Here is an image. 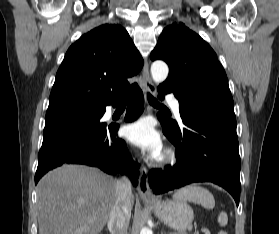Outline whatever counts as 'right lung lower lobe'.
I'll return each instance as SVG.
<instances>
[{"label": "right lung lower lobe", "instance_id": "obj_1", "mask_svg": "<svg viewBox=\"0 0 279 234\" xmlns=\"http://www.w3.org/2000/svg\"><path fill=\"white\" fill-rule=\"evenodd\" d=\"M126 95L129 106L125 120L132 122L144 110V97L137 84ZM117 103L111 105L116 106ZM104 113L105 107L95 120L64 122L44 128L36 184L49 170L62 164L76 163L99 167L109 174H130L133 185H137L138 165L128 157L125 142L116 135L119 125L100 122Z\"/></svg>", "mask_w": 279, "mask_h": 234}]
</instances>
